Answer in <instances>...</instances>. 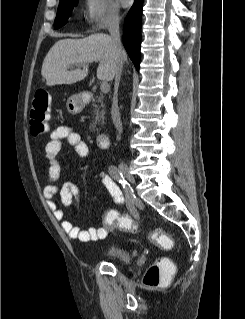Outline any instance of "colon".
I'll use <instances>...</instances> for the list:
<instances>
[{"mask_svg":"<svg viewBox=\"0 0 245 319\" xmlns=\"http://www.w3.org/2000/svg\"><path fill=\"white\" fill-rule=\"evenodd\" d=\"M50 94L45 89L38 90L32 100L30 110L31 133L40 136L45 133L50 114ZM104 223L112 230L134 231L136 223L125 215L110 210L104 215ZM151 239L165 250L174 247V240L167 236L162 229L154 228L150 233ZM171 265L166 259L160 258L150 266L144 276V284L147 287H158L163 285L170 274Z\"/></svg>","mask_w":245,"mask_h":319,"instance_id":"5ec220e1","label":"colon"}]
</instances>
